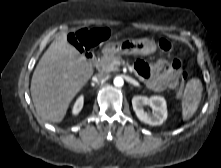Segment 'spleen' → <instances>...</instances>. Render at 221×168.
Wrapping results in <instances>:
<instances>
[{
  "label": "spleen",
  "instance_id": "3e777b00",
  "mask_svg": "<svg viewBox=\"0 0 221 168\" xmlns=\"http://www.w3.org/2000/svg\"><path fill=\"white\" fill-rule=\"evenodd\" d=\"M202 90V83L198 78H193L187 83L182 100L183 121L189 120L196 112L200 103Z\"/></svg>",
  "mask_w": 221,
  "mask_h": 168
}]
</instances>
